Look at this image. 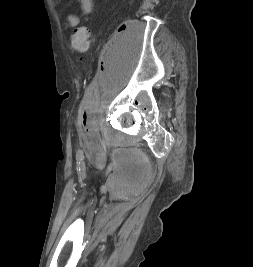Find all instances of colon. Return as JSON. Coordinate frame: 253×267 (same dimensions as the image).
Returning a JSON list of instances; mask_svg holds the SVG:
<instances>
[{
    "label": "colon",
    "instance_id": "obj_1",
    "mask_svg": "<svg viewBox=\"0 0 253 267\" xmlns=\"http://www.w3.org/2000/svg\"><path fill=\"white\" fill-rule=\"evenodd\" d=\"M72 46L79 53H85L89 49L90 32L86 26H80L74 29Z\"/></svg>",
    "mask_w": 253,
    "mask_h": 267
}]
</instances>
